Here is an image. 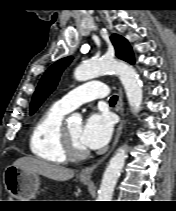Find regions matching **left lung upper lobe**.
<instances>
[{"label": "left lung upper lobe", "instance_id": "5c2ea615", "mask_svg": "<svg viewBox=\"0 0 176 211\" xmlns=\"http://www.w3.org/2000/svg\"><path fill=\"white\" fill-rule=\"evenodd\" d=\"M110 39L115 47L116 56L134 64V55L128 41L117 34H113ZM72 59L73 58L69 56L59 60L44 73L33 95L30 105V114H34L43 101L56 88L61 73L69 65Z\"/></svg>", "mask_w": 176, "mask_h": 211}]
</instances>
